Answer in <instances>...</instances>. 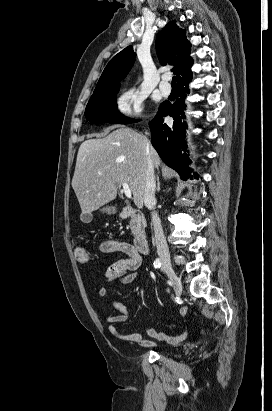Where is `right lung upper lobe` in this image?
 Segmentation results:
<instances>
[{"instance_id":"right-lung-upper-lobe-1","label":"right lung upper lobe","mask_w":272,"mask_h":411,"mask_svg":"<svg viewBox=\"0 0 272 411\" xmlns=\"http://www.w3.org/2000/svg\"><path fill=\"white\" fill-rule=\"evenodd\" d=\"M185 30L179 29L175 21L169 22L157 35L155 46L158 58L162 65L174 64L173 71L177 74L178 84L192 79L190 57L191 44L186 38ZM136 54L132 46H128L116 54L104 69L97 88H105L112 84H119L134 64Z\"/></svg>"}]
</instances>
